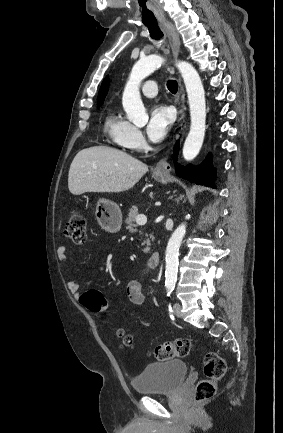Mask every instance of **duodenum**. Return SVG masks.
Listing matches in <instances>:
<instances>
[{
	"label": "duodenum",
	"instance_id": "410a0bca",
	"mask_svg": "<svg viewBox=\"0 0 283 433\" xmlns=\"http://www.w3.org/2000/svg\"><path fill=\"white\" fill-rule=\"evenodd\" d=\"M161 254L159 252H154L148 259V266L150 268H156L160 264Z\"/></svg>",
	"mask_w": 283,
	"mask_h": 433
}]
</instances>
